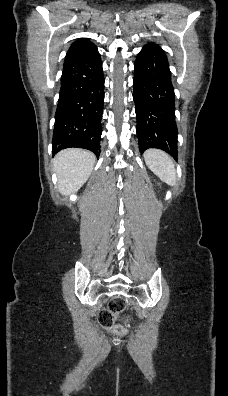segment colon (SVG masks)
Wrapping results in <instances>:
<instances>
[{
    "mask_svg": "<svg viewBox=\"0 0 228 396\" xmlns=\"http://www.w3.org/2000/svg\"><path fill=\"white\" fill-rule=\"evenodd\" d=\"M125 309V301L121 297H113L109 303L106 310L101 311L99 314V323L102 327L106 329L113 330L115 333L122 334L126 332L127 326L129 325L130 319L128 317L124 318L123 324H116V315L120 314Z\"/></svg>",
    "mask_w": 228,
    "mask_h": 396,
    "instance_id": "colon-1",
    "label": "colon"
}]
</instances>
